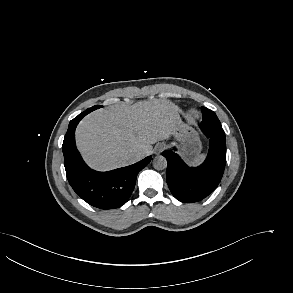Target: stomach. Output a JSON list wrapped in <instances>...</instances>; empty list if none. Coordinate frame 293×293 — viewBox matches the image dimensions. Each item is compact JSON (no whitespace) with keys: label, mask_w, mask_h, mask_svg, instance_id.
I'll use <instances>...</instances> for the list:
<instances>
[{"label":"stomach","mask_w":293,"mask_h":293,"mask_svg":"<svg viewBox=\"0 0 293 293\" xmlns=\"http://www.w3.org/2000/svg\"><path fill=\"white\" fill-rule=\"evenodd\" d=\"M173 136L180 145L182 157L187 162L192 163L199 156L202 149L198 134L194 129L181 122L177 126Z\"/></svg>","instance_id":"1"}]
</instances>
